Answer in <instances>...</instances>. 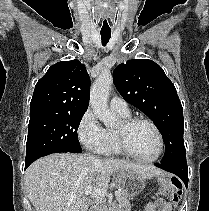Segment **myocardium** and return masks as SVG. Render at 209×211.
<instances>
[{
	"mask_svg": "<svg viewBox=\"0 0 209 211\" xmlns=\"http://www.w3.org/2000/svg\"><path fill=\"white\" fill-rule=\"evenodd\" d=\"M139 122H144V123L149 124L157 135L158 151L151 158L138 157L130 150L128 146V140H127L128 133L131 130V128ZM116 136H117L118 146L122 154L140 163H153L157 161L161 157L164 150V138H163L162 132L157 126V124L148 117L134 116V117H128L124 119L121 122L120 126L116 129Z\"/></svg>",
	"mask_w": 209,
	"mask_h": 211,
	"instance_id": "1",
	"label": "myocardium"
}]
</instances>
